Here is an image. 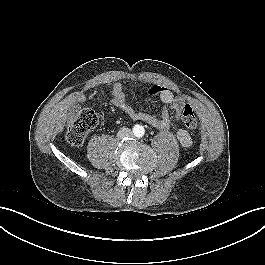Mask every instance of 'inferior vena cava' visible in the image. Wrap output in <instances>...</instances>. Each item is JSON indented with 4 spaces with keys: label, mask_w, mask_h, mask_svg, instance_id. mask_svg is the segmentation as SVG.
Instances as JSON below:
<instances>
[{
    "label": "inferior vena cava",
    "mask_w": 265,
    "mask_h": 265,
    "mask_svg": "<svg viewBox=\"0 0 265 265\" xmlns=\"http://www.w3.org/2000/svg\"><path fill=\"white\" fill-rule=\"evenodd\" d=\"M133 135L131 129L129 128H122L118 131L117 133V137L122 139V138H125V137H131Z\"/></svg>",
    "instance_id": "1"
}]
</instances>
